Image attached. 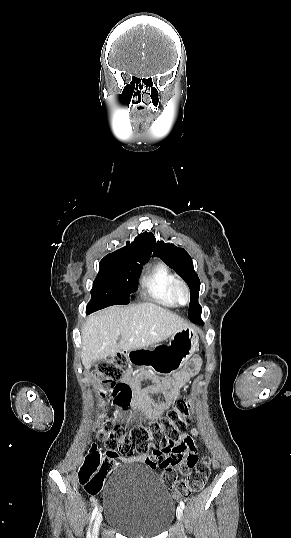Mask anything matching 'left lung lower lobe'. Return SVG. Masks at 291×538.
<instances>
[{
	"label": "left lung lower lobe",
	"instance_id": "1",
	"mask_svg": "<svg viewBox=\"0 0 291 538\" xmlns=\"http://www.w3.org/2000/svg\"><path fill=\"white\" fill-rule=\"evenodd\" d=\"M201 311L197 314V315H194L193 318H192V322L196 323V324H203L201 318Z\"/></svg>",
	"mask_w": 291,
	"mask_h": 538
}]
</instances>
